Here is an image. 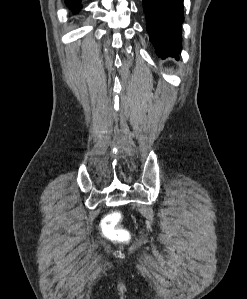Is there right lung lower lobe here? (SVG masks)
Here are the masks:
<instances>
[{"instance_id": "obj_1", "label": "right lung lower lobe", "mask_w": 247, "mask_h": 299, "mask_svg": "<svg viewBox=\"0 0 247 299\" xmlns=\"http://www.w3.org/2000/svg\"><path fill=\"white\" fill-rule=\"evenodd\" d=\"M65 2L73 11H77L81 8L80 0H65Z\"/></svg>"}]
</instances>
